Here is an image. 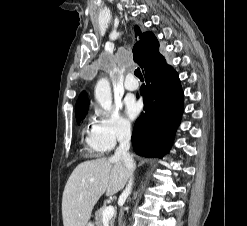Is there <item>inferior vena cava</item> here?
I'll use <instances>...</instances> for the list:
<instances>
[{
	"label": "inferior vena cava",
	"instance_id": "obj_1",
	"mask_svg": "<svg viewBox=\"0 0 247 226\" xmlns=\"http://www.w3.org/2000/svg\"><path fill=\"white\" fill-rule=\"evenodd\" d=\"M117 139L119 146L117 147L114 159L121 160L128 168L134 169L135 162L133 156L129 153L130 149V139H131V129L129 125H123L119 128L117 132ZM133 179H129L128 184L123 192V195L127 197L132 190Z\"/></svg>",
	"mask_w": 247,
	"mask_h": 226
}]
</instances>
